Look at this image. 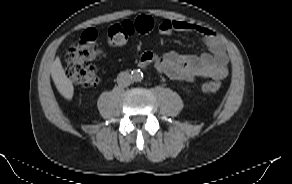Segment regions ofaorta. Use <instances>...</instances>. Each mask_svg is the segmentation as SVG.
Segmentation results:
<instances>
[{
    "mask_svg": "<svg viewBox=\"0 0 292 184\" xmlns=\"http://www.w3.org/2000/svg\"><path fill=\"white\" fill-rule=\"evenodd\" d=\"M143 77V73L140 70H134L131 74L132 81H140Z\"/></svg>",
    "mask_w": 292,
    "mask_h": 184,
    "instance_id": "1",
    "label": "aorta"
}]
</instances>
